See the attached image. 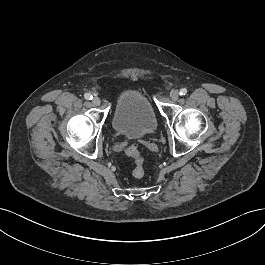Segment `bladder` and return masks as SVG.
<instances>
[{
    "label": "bladder",
    "mask_w": 265,
    "mask_h": 265,
    "mask_svg": "<svg viewBox=\"0 0 265 265\" xmlns=\"http://www.w3.org/2000/svg\"><path fill=\"white\" fill-rule=\"evenodd\" d=\"M112 125L116 133L139 139L156 130L157 118L147 96L138 89H128L116 100Z\"/></svg>",
    "instance_id": "31cf9c89"
}]
</instances>
